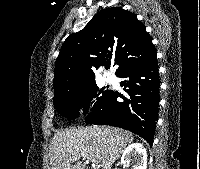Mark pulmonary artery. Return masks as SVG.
Returning a JSON list of instances; mask_svg holds the SVG:
<instances>
[{
    "mask_svg": "<svg viewBox=\"0 0 200 169\" xmlns=\"http://www.w3.org/2000/svg\"><path fill=\"white\" fill-rule=\"evenodd\" d=\"M104 80H105L106 82H113L114 78H113V76L110 75V74H105V75H104Z\"/></svg>",
    "mask_w": 200,
    "mask_h": 169,
    "instance_id": "pulmonary-artery-1",
    "label": "pulmonary artery"
}]
</instances>
